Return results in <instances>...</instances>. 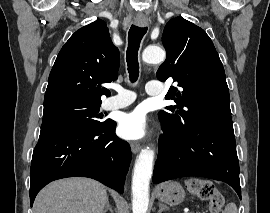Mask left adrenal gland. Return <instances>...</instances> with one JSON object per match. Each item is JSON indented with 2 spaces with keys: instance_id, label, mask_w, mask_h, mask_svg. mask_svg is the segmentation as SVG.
<instances>
[{
  "instance_id": "a2214340",
  "label": "left adrenal gland",
  "mask_w": 270,
  "mask_h": 213,
  "mask_svg": "<svg viewBox=\"0 0 270 213\" xmlns=\"http://www.w3.org/2000/svg\"><path fill=\"white\" fill-rule=\"evenodd\" d=\"M162 211H164V208L161 205H159V211H158V213H162Z\"/></svg>"
}]
</instances>
